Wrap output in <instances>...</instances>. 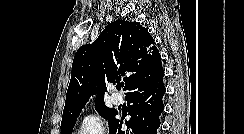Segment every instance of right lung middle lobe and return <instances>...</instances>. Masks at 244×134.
<instances>
[{
    "label": "right lung middle lobe",
    "mask_w": 244,
    "mask_h": 134,
    "mask_svg": "<svg viewBox=\"0 0 244 134\" xmlns=\"http://www.w3.org/2000/svg\"><path fill=\"white\" fill-rule=\"evenodd\" d=\"M96 111L110 124L118 112L114 108H108L104 103L95 106ZM79 115L63 118L61 122V134H70Z\"/></svg>",
    "instance_id": "right-lung-middle-lobe-1"
}]
</instances>
